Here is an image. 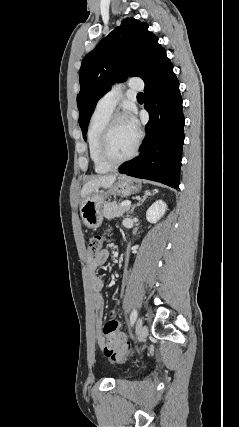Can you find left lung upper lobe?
Wrapping results in <instances>:
<instances>
[{"instance_id":"obj_1","label":"left lung upper lobe","mask_w":239,"mask_h":427,"mask_svg":"<svg viewBox=\"0 0 239 427\" xmlns=\"http://www.w3.org/2000/svg\"><path fill=\"white\" fill-rule=\"evenodd\" d=\"M170 61L148 25L126 18L87 54L80 68L77 95L79 125L84 139L97 101L115 82L138 76L147 82Z\"/></svg>"}]
</instances>
